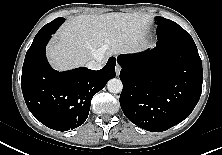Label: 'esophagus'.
<instances>
[{
	"mask_svg": "<svg viewBox=\"0 0 222 155\" xmlns=\"http://www.w3.org/2000/svg\"><path fill=\"white\" fill-rule=\"evenodd\" d=\"M115 71H116V75L118 76L120 74V71H121V67L118 63L116 64Z\"/></svg>",
	"mask_w": 222,
	"mask_h": 155,
	"instance_id": "esophagus-1",
	"label": "esophagus"
}]
</instances>
